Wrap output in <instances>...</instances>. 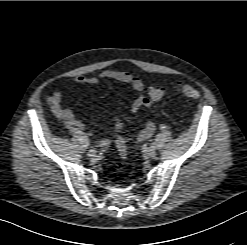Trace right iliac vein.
Wrapping results in <instances>:
<instances>
[{"label":"right iliac vein","mask_w":247,"mask_h":245,"mask_svg":"<svg viewBox=\"0 0 247 245\" xmlns=\"http://www.w3.org/2000/svg\"><path fill=\"white\" fill-rule=\"evenodd\" d=\"M88 156H89V157H95V156H96V151H91V150H89Z\"/></svg>","instance_id":"63e3f726"}]
</instances>
